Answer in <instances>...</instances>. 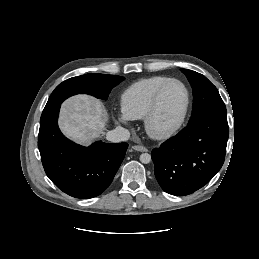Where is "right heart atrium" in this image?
<instances>
[{
    "mask_svg": "<svg viewBox=\"0 0 259 259\" xmlns=\"http://www.w3.org/2000/svg\"><path fill=\"white\" fill-rule=\"evenodd\" d=\"M117 121L122 123V124H128L131 120L130 117H128L123 111H121L117 117H116Z\"/></svg>",
    "mask_w": 259,
    "mask_h": 259,
    "instance_id": "d8ad5b80",
    "label": "right heart atrium"
}]
</instances>
